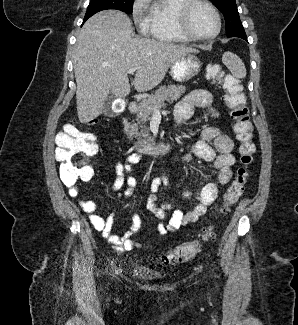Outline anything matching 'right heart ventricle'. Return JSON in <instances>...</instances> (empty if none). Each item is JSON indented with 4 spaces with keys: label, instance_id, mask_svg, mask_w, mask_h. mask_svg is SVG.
Wrapping results in <instances>:
<instances>
[{
    "label": "right heart ventricle",
    "instance_id": "e07e8e85",
    "mask_svg": "<svg viewBox=\"0 0 298 325\" xmlns=\"http://www.w3.org/2000/svg\"><path fill=\"white\" fill-rule=\"evenodd\" d=\"M182 0H159L150 5V24L158 30L159 41H178L179 45L191 41L184 38L174 30L175 6Z\"/></svg>",
    "mask_w": 298,
    "mask_h": 325
}]
</instances>
